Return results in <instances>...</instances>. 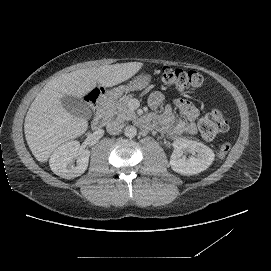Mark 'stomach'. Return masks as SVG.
Listing matches in <instances>:
<instances>
[{
  "label": "stomach",
  "instance_id": "0dacf381",
  "mask_svg": "<svg viewBox=\"0 0 271 271\" xmlns=\"http://www.w3.org/2000/svg\"><path fill=\"white\" fill-rule=\"evenodd\" d=\"M148 81H149L148 77H139L138 80L132 81L125 87L115 89L114 97H118L126 91L141 89L147 85Z\"/></svg>",
  "mask_w": 271,
  "mask_h": 271
}]
</instances>
